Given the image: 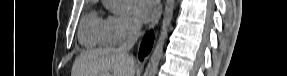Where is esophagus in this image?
I'll list each match as a JSON object with an SVG mask.
<instances>
[{
	"label": "esophagus",
	"instance_id": "esophagus-1",
	"mask_svg": "<svg viewBox=\"0 0 287 76\" xmlns=\"http://www.w3.org/2000/svg\"><path fill=\"white\" fill-rule=\"evenodd\" d=\"M161 14H162V3L160 0H158L157 1V11H156V14H155V16H154V18L150 24V28H154L157 25V23L161 17Z\"/></svg>",
	"mask_w": 287,
	"mask_h": 76
}]
</instances>
